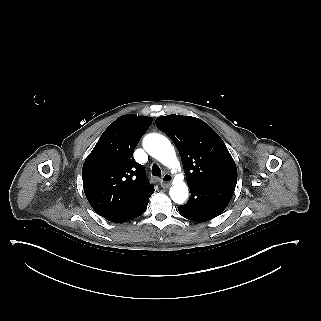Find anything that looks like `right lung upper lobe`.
<instances>
[{
  "label": "right lung upper lobe",
  "mask_w": 321,
  "mask_h": 321,
  "mask_svg": "<svg viewBox=\"0 0 321 321\" xmlns=\"http://www.w3.org/2000/svg\"><path fill=\"white\" fill-rule=\"evenodd\" d=\"M152 123L151 117L123 115L103 132L82 168L85 195L100 215L119 212L154 192L134 149Z\"/></svg>",
  "instance_id": "cb5924a9"
}]
</instances>
